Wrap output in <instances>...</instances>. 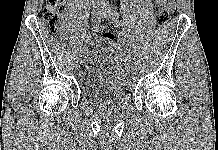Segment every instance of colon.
<instances>
[{
	"mask_svg": "<svg viewBox=\"0 0 218 150\" xmlns=\"http://www.w3.org/2000/svg\"><path fill=\"white\" fill-rule=\"evenodd\" d=\"M64 0H46L43 7L44 21L51 32H56L59 27L60 13ZM170 19V10L164 6H161L156 11V20L158 24H165ZM95 35L102 39L112 42L114 40V34L102 26L94 28Z\"/></svg>",
	"mask_w": 218,
	"mask_h": 150,
	"instance_id": "1",
	"label": "colon"
}]
</instances>
